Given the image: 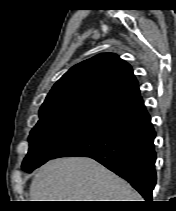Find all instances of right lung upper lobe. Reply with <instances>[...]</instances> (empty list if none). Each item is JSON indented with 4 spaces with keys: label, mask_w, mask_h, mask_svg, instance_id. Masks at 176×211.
Here are the masks:
<instances>
[{
    "label": "right lung upper lobe",
    "mask_w": 176,
    "mask_h": 211,
    "mask_svg": "<svg viewBox=\"0 0 176 211\" xmlns=\"http://www.w3.org/2000/svg\"><path fill=\"white\" fill-rule=\"evenodd\" d=\"M144 105L131 66L102 53L73 66L53 86L39 114L64 113L101 121Z\"/></svg>",
    "instance_id": "obj_1"
}]
</instances>
